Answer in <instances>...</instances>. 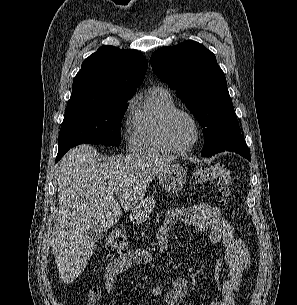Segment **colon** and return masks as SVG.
Masks as SVG:
<instances>
[{
    "mask_svg": "<svg viewBox=\"0 0 297 305\" xmlns=\"http://www.w3.org/2000/svg\"><path fill=\"white\" fill-rule=\"evenodd\" d=\"M193 181L197 184L215 182L218 193L224 202L230 196L233 185L231 172L221 164L202 167L194 171ZM106 247L111 252H123L128 247V237L123 228L113 229L106 241Z\"/></svg>",
    "mask_w": 297,
    "mask_h": 305,
    "instance_id": "colon-1",
    "label": "colon"
}]
</instances>
